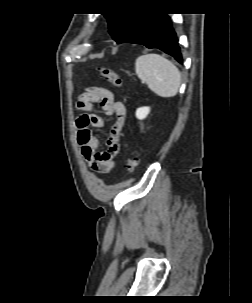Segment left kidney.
I'll use <instances>...</instances> for the list:
<instances>
[{"instance_id": "obj_1", "label": "left kidney", "mask_w": 252, "mask_h": 303, "mask_svg": "<svg viewBox=\"0 0 252 303\" xmlns=\"http://www.w3.org/2000/svg\"><path fill=\"white\" fill-rule=\"evenodd\" d=\"M150 112V108L149 107H140L136 110V117L139 120H143L147 117V115Z\"/></svg>"}]
</instances>
